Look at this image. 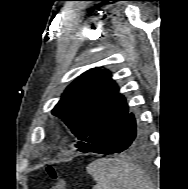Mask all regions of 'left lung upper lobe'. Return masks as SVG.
I'll return each instance as SVG.
<instances>
[{"label":"left lung upper lobe","mask_w":188,"mask_h":189,"mask_svg":"<svg viewBox=\"0 0 188 189\" xmlns=\"http://www.w3.org/2000/svg\"><path fill=\"white\" fill-rule=\"evenodd\" d=\"M128 112L126 99L110 72L100 67L72 82L52 110L80 140L76 147L81 152H89Z\"/></svg>","instance_id":"5c2ea615"}]
</instances>
